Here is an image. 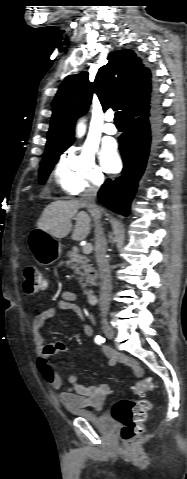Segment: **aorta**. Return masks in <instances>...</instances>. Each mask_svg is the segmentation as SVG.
I'll use <instances>...</instances> for the list:
<instances>
[{
    "instance_id": "obj_1",
    "label": "aorta",
    "mask_w": 187,
    "mask_h": 479,
    "mask_svg": "<svg viewBox=\"0 0 187 479\" xmlns=\"http://www.w3.org/2000/svg\"><path fill=\"white\" fill-rule=\"evenodd\" d=\"M85 133V125L83 123H79L77 126V135L80 137Z\"/></svg>"
}]
</instances>
